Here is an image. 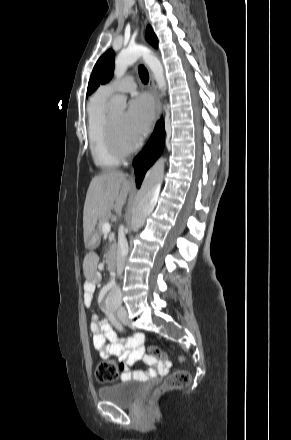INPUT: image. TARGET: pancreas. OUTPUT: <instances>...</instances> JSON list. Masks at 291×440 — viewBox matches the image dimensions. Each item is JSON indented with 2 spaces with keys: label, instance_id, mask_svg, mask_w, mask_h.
Here are the masks:
<instances>
[{
  "label": "pancreas",
  "instance_id": "obj_1",
  "mask_svg": "<svg viewBox=\"0 0 291 440\" xmlns=\"http://www.w3.org/2000/svg\"><path fill=\"white\" fill-rule=\"evenodd\" d=\"M109 217H110V215L107 213L105 216H103V217H101L99 219V222H98V225H97V233L99 235H102V233H103V229H102L103 224L108 222Z\"/></svg>",
  "mask_w": 291,
  "mask_h": 440
}]
</instances>
